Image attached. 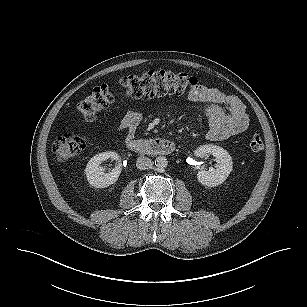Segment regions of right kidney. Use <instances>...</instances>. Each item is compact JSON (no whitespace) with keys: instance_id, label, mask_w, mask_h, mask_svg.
<instances>
[{"instance_id":"obj_1","label":"right kidney","mask_w":307,"mask_h":307,"mask_svg":"<svg viewBox=\"0 0 307 307\" xmlns=\"http://www.w3.org/2000/svg\"><path fill=\"white\" fill-rule=\"evenodd\" d=\"M107 159L119 160V155L115 152H103L96 154L90 159L86 165V177L90 185L96 188H105L114 184L121 173L120 165L115 167L111 172H103V168L100 167L102 161Z\"/></svg>"}]
</instances>
